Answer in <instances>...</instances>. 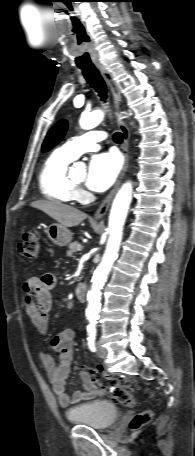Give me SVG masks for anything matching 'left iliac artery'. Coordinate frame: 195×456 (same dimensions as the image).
Wrapping results in <instances>:
<instances>
[{"label":"left iliac artery","mask_w":195,"mask_h":456,"mask_svg":"<svg viewBox=\"0 0 195 456\" xmlns=\"http://www.w3.org/2000/svg\"><path fill=\"white\" fill-rule=\"evenodd\" d=\"M96 322L95 321H90V324L88 325V337H87V344L88 348L92 351H96L95 347V339H96Z\"/></svg>","instance_id":"1"}]
</instances>
